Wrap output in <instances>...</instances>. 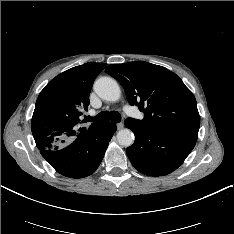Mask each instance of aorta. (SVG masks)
<instances>
[{
    "instance_id": "762f6f07",
    "label": "aorta",
    "mask_w": 234,
    "mask_h": 234,
    "mask_svg": "<svg viewBox=\"0 0 234 234\" xmlns=\"http://www.w3.org/2000/svg\"><path fill=\"white\" fill-rule=\"evenodd\" d=\"M94 90L101 99L106 101L116 102L121 97L118 83L110 77H101L96 80ZM117 141L120 145L129 147L134 143V134L130 129H121L117 133Z\"/></svg>"
}]
</instances>
